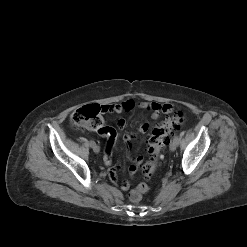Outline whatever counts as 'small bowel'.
Returning <instances> with one entry per match:
<instances>
[{"instance_id":"small-bowel-1","label":"small bowel","mask_w":247,"mask_h":247,"mask_svg":"<svg viewBox=\"0 0 247 247\" xmlns=\"http://www.w3.org/2000/svg\"><path fill=\"white\" fill-rule=\"evenodd\" d=\"M105 109V112H112V113H123L126 111H130L134 108L143 109L151 112V117L153 119L159 118L161 114H170L173 111V107L170 104H161L157 102H136L134 100H127L119 104H112V105H105L103 106ZM116 126L118 129H122L125 126V120L123 118H118L116 120ZM150 128V125L148 123L142 124L138 128V133H146ZM98 133L106 137L108 142L104 150L103 155V161L104 164L107 166L111 165L112 162V153L113 148L115 145L116 137H117V130L113 127L109 126H102V128L98 131ZM134 137L133 134H126L124 136V141L130 146V142L132 138ZM143 158L141 156H136L132 158V163L129 167V172L131 174H134L140 164L142 163ZM109 179L113 183H118V175L116 168H111L108 173ZM120 187L122 190H128L130 187V182L128 180H123L120 182Z\"/></svg>"}]
</instances>
